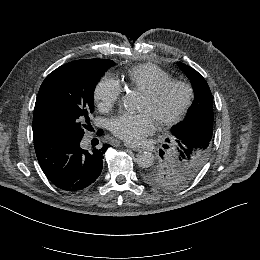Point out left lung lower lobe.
<instances>
[{
    "label": "left lung lower lobe",
    "instance_id": "1",
    "mask_svg": "<svg viewBox=\"0 0 260 260\" xmlns=\"http://www.w3.org/2000/svg\"><path fill=\"white\" fill-rule=\"evenodd\" d=\"M200 112L202 115L195 117V124L198 125L196 128L207 132L213 127V112L209 110H201Z\"/></svg>",
    "mask_w": 260,
    "mask_h": 260
}]
</instances>
